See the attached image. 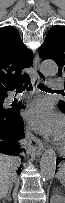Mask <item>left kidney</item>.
<instances>
[{
    "instance_id": "1",
    "label": "left kidney",
    "mask_w": 65,
    "mask_h": 203,
    "mask_svg": "<svg viewBox=\"0 0 65 203\" xmlns=\"http://www.w3.org/2000/svg\"><path fill=\"white\" fill-rule=\"evenodd\" d=\"M58 200H59L58 203H65V198L63 196H58Z\"/></svg>"
}]
</instances>
